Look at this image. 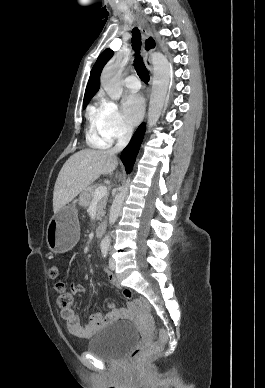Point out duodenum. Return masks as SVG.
<instances>
[{"instance_id": "duodenum-1", "label": "duodenum", "mask_w": 265, "mask_h": 388, "mask_svg": "<svg viewBox=\"0 0 265 388\" xmlns=\"http://www.w3.org/2000/svg\"><path fill=\"white\" fill-rule=\"evenodd\" d=\"M106 227H107V223L105 221H102L98 224L96 228L97 237H102L105 234Z\"/></svg>"}]
</instances>
